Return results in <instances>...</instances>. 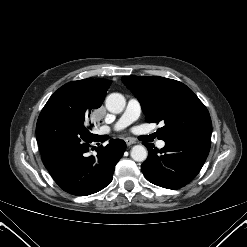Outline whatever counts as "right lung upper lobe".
<instances>
[{"label":"right lung upper lobe","instance_id":"obj_1","mask_svg":"<svg viewBox=\"0 0 247 247\" xmlns=\"http://www.w3.org/2000/svg\"><path fill=\"white\" fill-rule=\"evenodd\" d=\"M73 82H76L82 85L88 91L97 95L98 98L102 100V102L104 100V97L106 95V92L109 86L111 85V81L109 80H104V79L94 80L93 78H88V79H83V80L73 81Z\"/></svg>","mask_w":247,"mask_h":247}]
</instances>
